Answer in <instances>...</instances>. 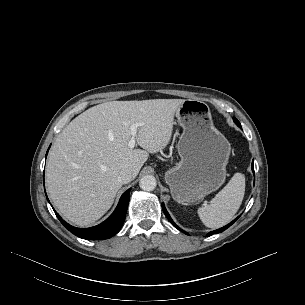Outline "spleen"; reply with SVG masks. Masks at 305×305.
<instances>
[{
	"label": "spleen",
	"mask_w": 305,
	"mask_h": 305,
	"mask_svg": "<svg viewBox=\"0 0 305 305\" xmlns=\"http://www.w3.org/2000/svg\"><path fill=\"white\" fill-rule=\"evenodd\" d=\"M244 193L245 177L242 173H235L209 204L198 209V215L203 224L214 229L229 223L239 210Z\"/></svg>",
	"instance_id": "spleen-1"
}]
</instances>
